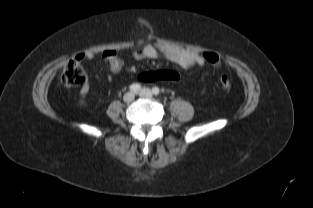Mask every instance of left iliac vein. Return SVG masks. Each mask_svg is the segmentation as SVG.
Instances as JSON below:
<instances>
[{
    "mask_svg": "<svg viewBox=\"0 0 313 208\" xmlns=\"http://www.w3.org/2000/svg\"><path fill=\"white\" fill-rule=\"evenodd\" d=\"M138 95L142 98H151L153 96V93L150 89L144 88L138 92Z\"/></svg>",
    "mask_w": 313,
    "mask_h": 208,
    "instance_id": "1",
    "label": "left iliac vein"
}]
</instances>
